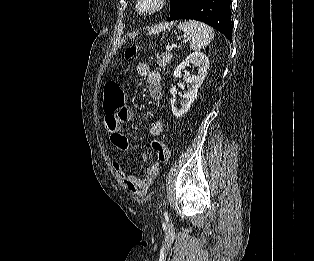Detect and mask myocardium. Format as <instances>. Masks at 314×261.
<instances>
[{
  "label": "myocardium",
  "instance_id": "f54148a6",
  "mask_svg": "<svg viewBox=\"0 0 314 261\" xmlns=\"http://www.w3.org/2000/svg\"><path fill=\"white\" fill-rule=\"evenodd\" d=\"M143 0H135V10L141 15H153L163 11L168 3L169 0H155L154 4L149 8L142 7Z\"/></svg>",
  "mask_w": 314,
  "mask_h": 261
}]
</instances>
